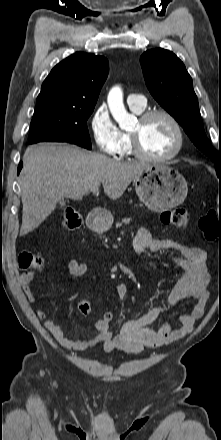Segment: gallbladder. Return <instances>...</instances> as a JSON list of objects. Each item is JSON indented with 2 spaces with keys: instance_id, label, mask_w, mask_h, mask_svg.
Returning a JSON list of instances; mask_svg holds the SVG:
<instances>
[{
  "instance_id": "gallbladder-1",
  "label": "gallbladder",
  "mask_w": 221,
  "mask_h": 440,
  "mask_svg": "<svg viewBox=\"0 0 221 440\" xmlns=\"http://www.w3.org/2000/svg\"><path fill=\"white\" fill-rule=\"evenodd\" d=\"M65 202H66V201H65L64 199H62V200L59 201V204H60L61 206H63V205H65Z\"/></svg>"
}]
</instances>
